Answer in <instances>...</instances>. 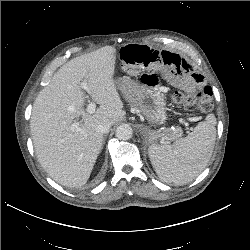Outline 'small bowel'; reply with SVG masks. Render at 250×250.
<instances>
[{
	"label": "small bowel",
	"instance_id": "c3829d8e",
	"mask_svg": "<svg viewBox=\"0 0 250 250\" xmlns=\"http://www.w3.org/2000/svg\"><path fill=\"white\" fill-rule=\"evenodd\" d=\"M119 57L122 69L131 76L158 73L188 92L204 85L203 76L191 64L168 51L145 45H126L120 49Z\"/></svg>",
	"mask_w": 250,
	"mask_h": 250
}]
</instances>
